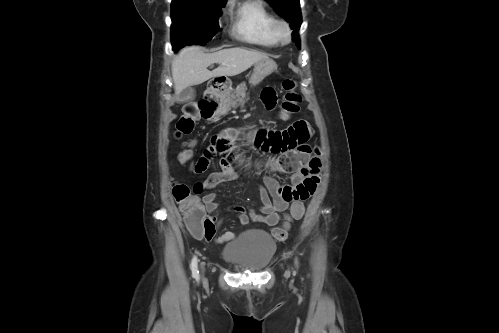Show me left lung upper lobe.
Wrapping results in <instances>:
<instances>
[{
	"instance_id": "left-lung-upper-lobe-1",
	"label": "left lung upper lobe",
	"mask_w": 499,
	"mask_h": 333,
	"mask_svg": "<svg viewBox=\"0 0 499 333\" xmlns=\"http://www.w3.org/2000/svg\"><path fill=\"white\" fill-rule=\"evenodd\" d=\"M275 10L281 15L287 22L290 23V26L293 31L294 37L298 38L297 32L302 23L301 19V10L299 0H266ZM293 37V38H294ZM300 48V41H297L296 44Z\"/></svg>"
}]
</instances>
